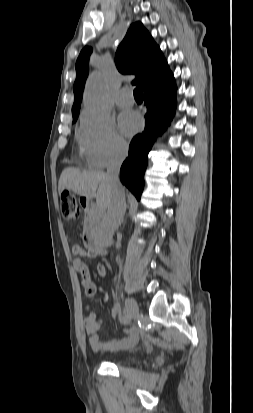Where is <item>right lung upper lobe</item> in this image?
I'll return each instance as SVG.
<instances>
[{"label": "right lung upper lobe", "mask_w": 253, "mask_h": 413, "mask_svg": "<svg viewBox=\"0 0 253 413\" xmlns=\"http://www.w3.org/2000/svg\"><path fill=\"white\" fill-rule=\"evenodd\" d=\"M92 48L85 47L76 62V80L74 83L75 101L72 107L73 119L78 118L84 85L89 72V55ZM115 63L123 74H135L133 84L139 83L145 89L151 82L173 80L167 61L148 31L140 23L131 24L127 34L119 45Z\"/></svg>", "instance_id": "right-lung-upper-lobe-1"}]
</instances>
